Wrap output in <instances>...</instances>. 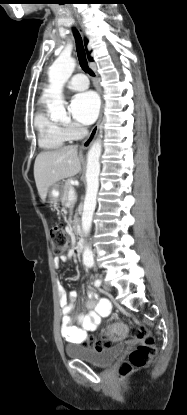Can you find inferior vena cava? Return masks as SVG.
I'll list each match as a JSON object with an SVG mask.
<instances>
[{
	"instance_id": "obj_1",
	"label": "inferior vena cava",
	"mask_w": 187,
	"mask_h": 415,
	"mask_svg": "<svg viewBox=\"0 0 187 415\" xmlns=\"http://www.w3.org/2000/svg\"><path fill=\"white\" fill-rule=\"evenodd\" d=\"M81 132L84 134V135H86L87 133H88V130L86 129V128H81Z\"/></svg>"
}]
</instances>
